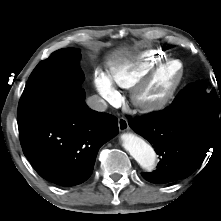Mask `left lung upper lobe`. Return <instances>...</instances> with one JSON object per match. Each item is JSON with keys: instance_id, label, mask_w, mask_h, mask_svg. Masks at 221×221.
<instances>
[{"instance_id": "left-lung-upper-lobe-1", "label": "left lung upper lobe", "mask_w": 221, "mask_h": 221, "mask_svg": "<svg viewBox=\"0 0 221 221\" xmlns=\"http://www.w3.org/2000/svg\"><path fill=\"white\" fill-rule=\"evenodd\" d=\"M207 84L200 80L188 87H185L166 108L169 114H216L219 115V105L221 104V94H216L215 90L208 92Z\"/></svg>"}]
</instances>
